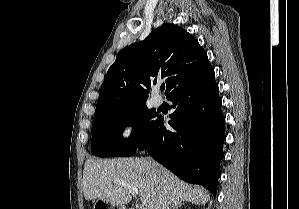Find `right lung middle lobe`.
Instances as JSON below:
<instances>
[{
    "instance_id": "right-lung-middle-lobe-1",
    "label": "right lung middle lobe",
    "mask_w": 299,
    "mask_h": 209,
    "mask_svg": "<svg viewBox=\"0 0 299 209\" xmlns=\"http://www.w3.org/2000/svg\"><path fill=\"white\" fill-rule=\"evenodd\" d=\"M157 115L146 104L112 110L94 116L92 122L91 151L99 157L131 156ZM132 126L129 139H123L124 127Z\"/></svg>"
}]
</instances>
